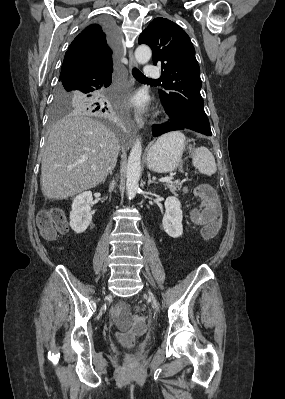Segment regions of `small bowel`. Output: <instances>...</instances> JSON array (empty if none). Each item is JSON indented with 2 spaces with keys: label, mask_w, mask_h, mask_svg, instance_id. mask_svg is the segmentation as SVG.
<instances>
[{
  "label": "small bowel",
  "mask_w": 285,
  "mask_h": 399,
  "mask_svg": "<svg viewBox=\"0 0 285 399\" xmlns=\"http://www.w3.org/2000/svg\"><path fill=\"white\" fill-rule=\"evenodd\" d=\"M213 202L215 204H217V201L215 198L213 199ZM192 218L196 223H198L200 225H206L207 223H209L212 220V215L209 212L202 210V211L194 212L192 215ZM122 307H123L122 305H117L112 309L111 317L114 321H116L118 319Z\"/></svg>",
  "instance_id": "small-bowel-1"
}]
</instances>
